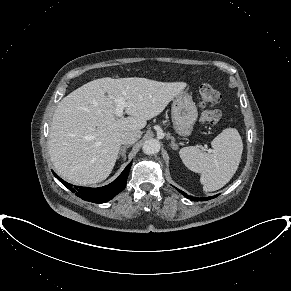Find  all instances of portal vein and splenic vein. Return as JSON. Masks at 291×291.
I'll use <instances>...</instances> for the list:
<instances>
[{"label": "portal vein and splenic vein", "instance_id": "obj_1", "mask_svg": "<svg viewBox=\"0 0 291 291\" xmlns=\"http://www.w3.org/2000/svg\"><path fill=\"white\" fill-rule=\"evenodd\" d=\"M114 103L116 105L115 114L117 117H121L123 115L124 109L128 106V103L123 97H115Z\"/></svg>", "mask_w": 291, "mask_h": 291}]
</instances>
